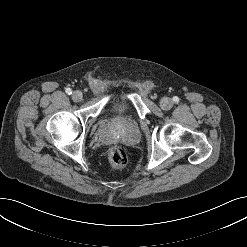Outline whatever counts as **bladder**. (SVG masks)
I'll return each instance as SVG.
<instances>
[{"instance_id":"obj_1","label":"bladder","mask_w":247,"mask_h":247,"mask_svg":"<svg viewBox=\"0 0 247 247\" xmlns=\"http://www.w3.org/2000/svg\"><path fill=\"white\" fill-rule=\"evenodd\" d=\"M122 107V103L117 101L114 102L111 106V111H117L118 109H120Z\"/></svg>"}]
</instances>
